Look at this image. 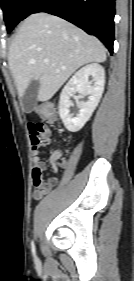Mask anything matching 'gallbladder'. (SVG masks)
<instances>
[{
  "instance_id": "obj_1",
  "label": "gallbladder",
  "mask_w": 134,
  "mask_h": 281,
  "mask_svg": "<svg viewBox=\"0 0 134 281\" xmlns=\"http://www.w3.org/2000/svg\"><path fill=\"white\" fill-rule=\"evenodd\" d=\"M39 86L40 84L38 80H32L23 95L22 106L23 110L27 113H30L34 108Z\"/></svg>"
}]
</instances>
